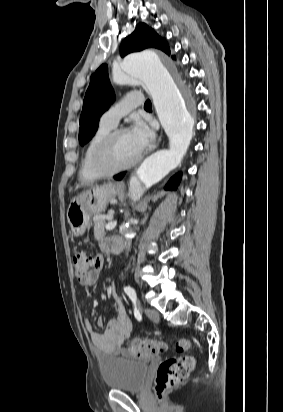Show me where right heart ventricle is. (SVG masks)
<instances>
[{
  "mask_svg": "<svg viewBox=\"0 0 283 412\" xmlns=\"http://www.w3.org/2000/svg\"><path fill=\"white\" fill-rule=\"evenodd\" d=\"M112 129L113 128L100 123L88 139L80 160L79 177L81 181H91L100 176L93 166V155L101 140Z\"/></svg>",
  "mask_w": 283,
  "mask_h": 412,
  "instance_id": "obj_1",
  "label": "right heart ventricle"
}]
</instances>
